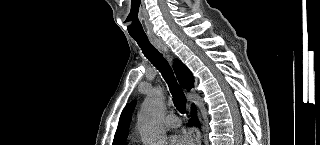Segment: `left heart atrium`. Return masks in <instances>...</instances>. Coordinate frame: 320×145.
<instances>
[{
	"instance_id": "left-heart-atrium-1",
	"label": "left heart atrium",
	"mask_w": 320,
	"mask_h": 145,
	"mask_svg": "<svg viewBox=\"0 0 320 145\" xmlns=\"http://www.w3.org/2000/svg\"><path fill=\"white\" fill-rule=\"evenodd\" d=\"M187 138L183 135L177 134L171 137V145H187Z\"/></svg>"
}]
</instances>
